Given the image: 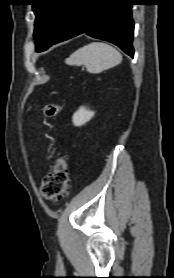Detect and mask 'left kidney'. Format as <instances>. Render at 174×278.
<instances>
[{
  "instance_id": "left-kidney-1",
  "label": "left kidney",
  "mask_w": 174,
  "mask_h": 278,
  "mask_svg": "<svg viewBox=\"0 0 174 278\" xmlns=\"http://www.w3.org/2000/svg\"><path fill=\"white\" fill-rule=\"evenodd\" d=\"M94 112L86 109L85 107H80L73 115L72 121L75 126H82L88 122L93 116Z\"/></svg>"
}]
</instances>
